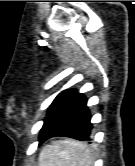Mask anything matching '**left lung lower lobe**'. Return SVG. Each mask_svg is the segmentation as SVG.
Segmentation results:
<instances>
[{"mask_svg":"<svg viewBox=\"0 0 135 166\" xmlns=\"http://www.w3.org/2000/svg\"><path fill=\"white\" fill-rule=\"evenodd\" d=\"M92 128L91 113L86 97L72 89L45 118L39 142L42 143L54 136H65L89 142Z\"/></svg>","mask_w":135,"mask_h":166,"instance_id":"obj_1","label":"left lung lower lobe"}]
</instances>
